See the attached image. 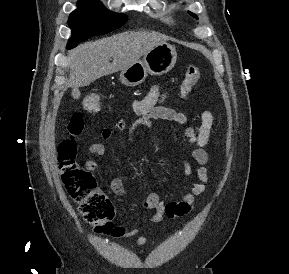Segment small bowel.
I'll return each mask as SVG.
<instances>
[{"instance_id":"obj_1","label":"small bowel","mask_w":289,"mask_h":274,"mask_svg":"<svg viewBox=\"0 0 289 274\" xmlns=\"http://www.w3.org/2000/svg\"><path fill=\"white\" fill-rule=\"evenodd\" d=\"M167 93L162 91L159 86H153L148 94L134 104L136 113L140 119L136 123L128 127L124 120H120L115 124L118 131L128 130L129 133L135 131L140 124L149 123L157 120L171 121L178 125H185L188 121L184 113L165 107L162 102L166 99ZM214 124V115L211 110L206 109L200 115V123L198 127L187 126L184 134L188 141L190 156L198 164L197 177L198 181L193 184L190 191L187 192L178 201L165 202L162 201L157 193H149L144 199L142 206L147 210H154L151 222L158 224L166 218H177L189 214L195 205L196 197L202 195L206 191L209 183L207 164L209 155L205 150L208 144ZM112 129L104 128L101 131L100 137L103 140L111 138ZM89 151L96 156H103L106 148L102 143H94L89 147ZM184 176L188 178L192 173L191 164L187 159L183 160ZM85 168L91 173L98 172V164L94 160H87ZM110 188L113 193L121 197H128L129 190L119 178H114L110 183ZM142 229L128 227L126 225L116 226L111 234L116 237H136V244L142 246L147 242V238L141 235Z\"/></svg>"}]
</instances>
